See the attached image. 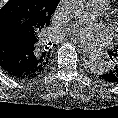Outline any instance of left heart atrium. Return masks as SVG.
<instances>
[{"mask_svg": "<svg viewBox=\"0 0 118 118\" xmlns=\"http://www.w3.org/2000/svg\"><path fill=\"white\" fill-rule=\"evenodd\" d=\"M70 37L86 48L105 45L109 41L107 30L101 26L78 27L70 33Z\"/></svg>", "mask_w": 118, "mask_h": 118, "instance_id": "1", "label": "left heart atrium"}]
</instances>
